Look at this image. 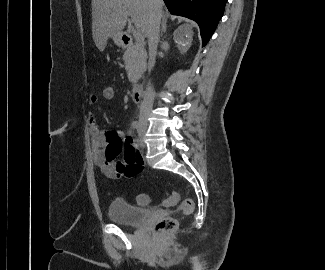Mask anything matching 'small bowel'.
Returning a JSON list of instances; mask_svg holds the SVG:
<instances>
[{
    "mask_svg": "<svg viewBox=\"0 0 325 270\" xmlns=\"http://www.w3.org/2000/svg\"><path fill=\"white\" fill-rule=\"evenodd\" d=\"M98 100V96L90 95L89 104L94 105ZM87 126L91 137L94 164L107 178H131L142 170V159L135 149L132 139L126 136L124 131L101 130L95 115L92 113L87 117ZM122 148H124L125 161H116Z\"/></svg>",
    "mask_w": 325,
    "mask_h": 270,
    "instance_id": "obj_1",
    "label": "small bowel"
}]
</instances>
